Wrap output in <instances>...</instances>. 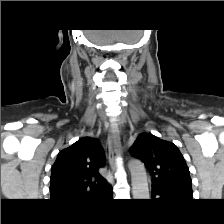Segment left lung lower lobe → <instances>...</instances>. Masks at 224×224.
Instances as JSON below:
<instances>
[{
	"mask_svg": "<svg viewBox=\"0 0 224 224\" xmlns=\"http://www.w3.org/2000/svg\"><path fill=\"white\" fill-rule=\"evenodd\" d=\"M158 195L159 201H168V202H183L186 200H191L192 197L188 196L184 193H174V192H163L159 191L156 188H153L151 198L155 199L154 197Z\"/></svg>",
	"mask_w": 224,
	"mask_h": 224,
	"instance_id": "left-lung-lower-lobe-1",
	"label": "left lung lower lobe"
}]
</instances>
